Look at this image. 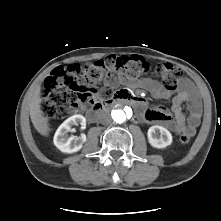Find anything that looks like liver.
I'll list each match as a JSON object with an SVG mask.
<instances>
[{"instance_id": "liver-1", "label": "liver", "mask_w": 221, "mask_h": 221, "mask_svg": "<svg viewBox=\"0 0 221 221\" xmlns=\"http://www.w3.org/2000/svg\"><path fill=\"white\" fill-rule=\"evenodd\" d=\"M41 98H40V88L38 87L33 95L30 104V118L34 128L43 136H48L50 132V127L48 123V118L44 116L41 111Z\"/></svg>"}]
</instances>
